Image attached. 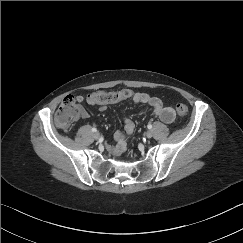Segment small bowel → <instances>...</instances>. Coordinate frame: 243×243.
Masks as SVG:
<instances>
[{"label": "small bowel", "instance_id": "c3829d8e", "mask_svg": "<svg viewBox=\"0 0 243 243\" xmlns=\"http://www.w3.org/2000/svg\"><path fill=\"white\" fill-rule=\"evenodd\" d=\"M128 90V89H125ZM130 95L129 97L136 104H146L150 107L151 113L158 117L164 123H171L175 119V111L172 106L165 105L161 99L151 96L147 93L143 92H134L128 90ZM79 102L86 101L91 105H99L100 107H105L107 103H101L95 101L91 98V96L84 98L83 96H77ZM82 117H87L86 110H81ZM135 125L133 121L124 114V129L115 132L114 140L115 144H106V148L112 152L114 155H121L125 152L127 147V142L129 136L133 133Z\"/></svg>", "mask_w": 243, "mask_h": 243}]
</instances>
